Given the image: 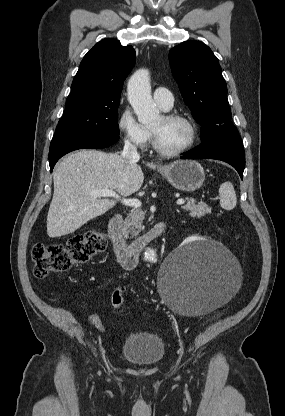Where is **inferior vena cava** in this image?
<instances>
[{
	"label": "inferior vena cava",
	"instance_id": "602c4592",
	"mask_svg": "<svg viewBox=\"0 0 285 416\" xmlns=\"http://www.w3.org/2000/svg\"><path fill=\"white\" fill-rule=\"evenodd\" d=\"M121 158L125 160L126 164H137L139 162L140 156L137 148L131 144L130 140H125Z\"/></svg>",
	"mask_w": 285,
	"mask_h": 416
}]
</instances>
